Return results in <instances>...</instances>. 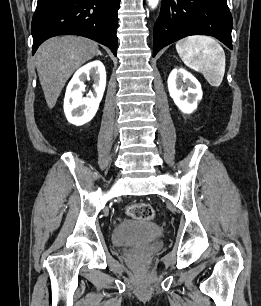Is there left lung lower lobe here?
I'll use <instances>...</instances> for the list:
<instances>
[{"instance_id": "obj_1", "label": "left lung lower lobe", "mask_w": 261, "mask_h": 306, "mask_svg": "<svg viewBox=\"0 0 261 306\" xmlns=\"http://www.w3.org/2000/svg\"><path fill=\"white\" fill-rule=\"evenodd\" d=\"M232 16L226 0H162L154 26L153 57L189 35H210L232 49Z\"/></svg>"}]
</instances>
